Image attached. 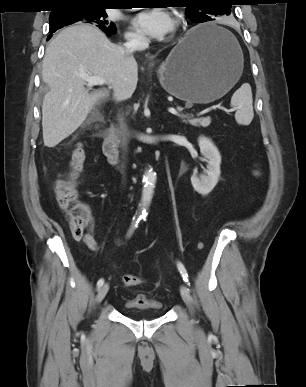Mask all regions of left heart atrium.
Segmentation results:
<instances>
[{"label": "left heart atrium", "mask_w": 306, "mask_h": 387, "mask_svg": "<svg viewBox=\"0 0 306 387\" xmlns=\"http://www.w3.org/2000/svg\"><path fill=\"white\" fill-rule=\"evenodd\" d=\"M132 23L136 30L156 39L163 38L169 34L174 25L171 16L160 8L139 13Z\"/></svg>", "instance_id": "39dd6f15"}]
</instances>
